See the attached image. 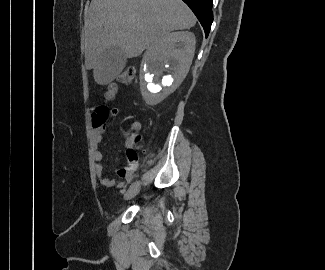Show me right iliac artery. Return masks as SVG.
<instances>
[{"label": "right iliac artery", "instance_id": "obj_1", "mask_svg": "<svg viewBox=\"0 0 325 270\" xmlns=\"http://www.w3.org/2000/svg\"><path fill=\"white\" fill-rule=\"evenodd\" d=\"M139 185V181H135L130 185V188L138 186Z\"/></svg>", "mask_w": 325, "mask_h": 270}]
</instances>
